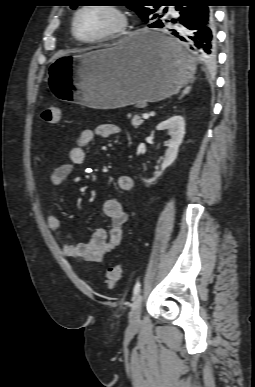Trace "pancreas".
<instances>
[{
    "label": "pancreas",
    "mask_w": 255,
    "mask_h": 387,
    "mask_svg": "<svg viewBox=\"0 0 255 387\" xmlns=\"http://www.w3.org/2000/svg\"><path fill=\"white\" fill-rule=\"evenodd\" d=\"M144 121L141 119V117L137 114L132 116L131 124L134 128H138L140 125H142Z\"/></svg>",
    "instance_id": "1"
}]
</instances>
